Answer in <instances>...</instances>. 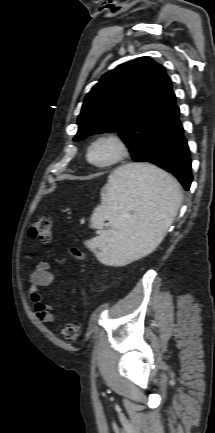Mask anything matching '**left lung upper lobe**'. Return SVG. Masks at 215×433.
I'll list each match as a JSON object with an SVG mask.
<instances>
[{
    "mask_svg": "<svg viewBox=\"0 0 215 433\" xmlns=\"http://www.w3.org/2000/svg\"><path fill=\"white\" fill-rule=\"evenodd\" d=\"M175 107L164 67L141 57L104 74L87 94L73 140L117 131L133 161L154 163Z\"/></svg>",
    "mask_w": 215,
    "mask_h": 433,
    "instance_id": "left-lung-upper-lobe-1",
    "label": "left lung upper lobe"
}]
</instances>
